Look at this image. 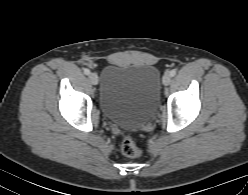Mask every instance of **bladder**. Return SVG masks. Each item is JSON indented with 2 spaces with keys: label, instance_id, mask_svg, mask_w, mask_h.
Returning <instances> with one entry per match:
<instances>
[{
  "label": "bladder",
  "instance_id": "bladder-1",
  "mask_svg": "<svg viewBox=\"0 0 248 195\" xmlns=\"http://www.w3.org/2000/svg\"><path fill=\"white\" fill-rule=\"evenodd\" d=\"M160 87L161 76L153 65H110L101 75L99 104L118 127L137 129L152 117Z\"/></svg>",
  "mask_w": 248,
  "mask_h": 195
}]
</instances>
